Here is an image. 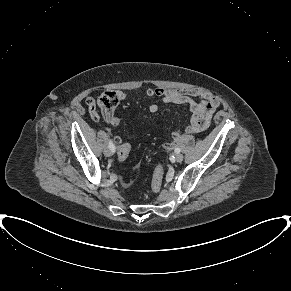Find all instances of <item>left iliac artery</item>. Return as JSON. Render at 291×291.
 I'll use <instances>...</instances> for the list:
<instances>
[{
  "label": "left iliac artery",
  "mask_w": 291,
  "mask_h": 291,
  "mask_svg": "<svg viewBox=\"0 0 291 291\" xmlns=\"http://www.w3.org/2000/svg\"><path fill=\"white\" fill-rule=\"evenodd\" d=\"M180 151H181L180 148H178V147L175 148V152H176V153H180Z\"/></svg>",
  "instance_id": "1"
}]
</instances>
